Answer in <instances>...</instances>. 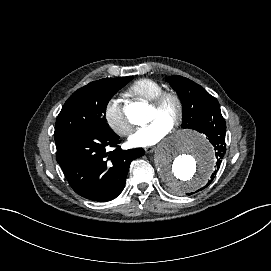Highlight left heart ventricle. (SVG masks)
<instances>
[{
    "mask_svg": "<svg viewBox=\"0 0 271 271\" xmlns=\"http://www.w3.org/2000/svg\"><path fill=\"white\" fill-rule=\"evenodd\" d=\"M177 111V105L173 100H169L166 105L165 109L162 113L155 111L152 107H150L148 123L160 119L168 124H171V119L173 115Z\"/></svg>",
    "mask_w": 271,
    "mask_h": 271,
    "instance_id": "obj_1",
    "label": "left heart ventricle"
}]
</instances>
